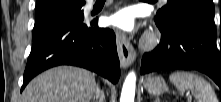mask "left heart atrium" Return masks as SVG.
Instances as JSON below:
<instances>
[{
  "label": "left heart atrium",
  "mask_w": 221,
  "mask_h": 102,
  "mask_svg": "<svg viewBox=\"0 0 221 102\" xmlns=\"http://www.w3.org/2000/svg\"><path fill=\"white\" fill-rule=\"evenodd\" d=\"M107 21L115 28L126 32H132L136 27L134 14L127 8L115 12L107 19Z\"/></svg>",
  "instance_id": "left-heart-atrium-1"
}]
</instances>
